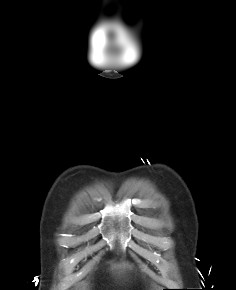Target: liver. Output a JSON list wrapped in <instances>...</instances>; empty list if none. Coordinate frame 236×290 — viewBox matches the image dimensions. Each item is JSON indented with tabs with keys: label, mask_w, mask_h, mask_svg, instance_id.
Listing matches in <instances>:
<instances>
[{
	"label": "liver",
	"mask_w": 236,
	"mask_h": 290,
	"mask_svg": "<svg viewBox=\"0 0 236 290\" xmlns=\"http://www.w3.org/2000/svg\"><path fill=\"white\" fill-rule=\"evenodd\" d=\"M113 269L116 270L118 274H120V273L125 272L126 267L125 265L118 264V265H114Z\"/></svg>",
	"instance_id": "obj_1"
}]
</instances>
